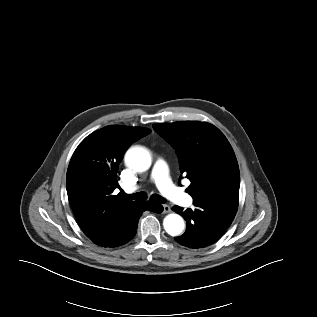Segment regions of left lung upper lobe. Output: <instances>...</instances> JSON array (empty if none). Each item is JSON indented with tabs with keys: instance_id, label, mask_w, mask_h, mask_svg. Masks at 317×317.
Here are the masks:
<instances>
[{
	"instance_id": "1",
	"label": "left lung upper lobe",
	"mask_w": 317,
	"mask_h": 317,
	"mask_svg": "<svg viewBox=\"0 0 317 317\" xmlns=\"http://www.w3.org/2000/svg\"><path fill=\"white\" fill-rule=\"evenodd\" d=\"M153 128L176 149L181 174L191 181L187 192L193 202L238 207L239 167L219 129L199 121L154 124Z\"/></svg>"
}]
</instances>
